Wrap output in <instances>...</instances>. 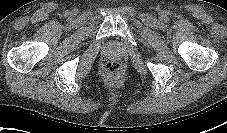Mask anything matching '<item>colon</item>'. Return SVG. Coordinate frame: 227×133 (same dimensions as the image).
<instances>
[{
  "mask_svg": "<svg viewBox=\"0 0 227 133\" xmlns=\"http://www.w3.org/2000/svg\"><path fill=\"white\" fill-rule=\"evenodd\" d=\"M104 71L106 74L112 77H119L123 74V66L119 62L109 61L104 65Z\"/></svg>",
  "mask_w": 227,
  "mask_h": 133,
  "instance_id": "obj_1",
  "label": "colon"
}]
</instances>
